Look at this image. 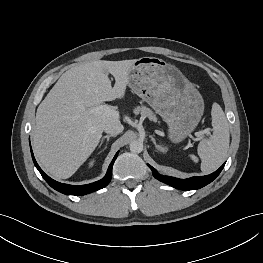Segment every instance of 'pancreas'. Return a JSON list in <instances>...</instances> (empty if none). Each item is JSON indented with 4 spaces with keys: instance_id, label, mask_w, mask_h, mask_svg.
<instances>
[{
    "instance_id": "cf45deb5",
    "label": "pancreas",
    "mask_w": 263,
    "mask_h": 263,
    "mask_svg": "<svg viewBox=\"0 0 263 263\" xmlns=\"http://www.w3.org/2000/svg\"><path fill=\"white\" fill-rule=\"evenodd\" d=\"M134 113L135 114L140 113L142 116L148 117L150 120H152L154 122L157 121V118L154 115V113L149 108H147L145 106L135 108Z\"/></svg>"
}]
</instances>
